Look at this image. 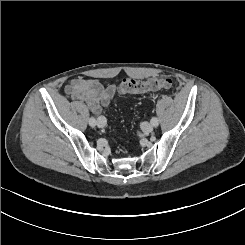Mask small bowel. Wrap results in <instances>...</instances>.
I'll return each instance as SVG.
<instances>
[{
    "mask_svg": "<svg viewBox=\"0 0 245 245\" xmlns=\"http://www.w3.org/2000/svg\"><path fill=\"white\" fill-rule=\"evenodd\" d=\"M67 94L84 104L85 108L99 115L108 108L117 97L116 86L103 84L97 79H75L66 87Z\"/></svg>",
    "mask_w": 245,
    "mask_h": 245,
    "instance_id": "small-bowel-1",
    "label": "small bowel"
}]
</instances>
